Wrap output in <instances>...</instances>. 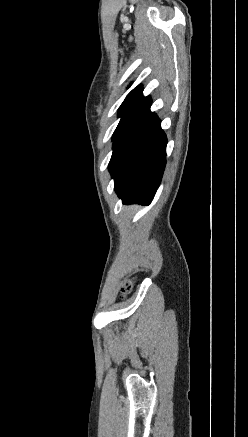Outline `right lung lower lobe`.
I'll list each match as a JSON object with an SVG mask.
<instances>
[{
  "instance_id": "obj_1",
  "label": "right lung lower lobe",
  "mask_w": 248,
  "mask_h": 437,
  "mask_svg": "<svg viewBox=\"0 0 248 437\" xmlns=\"http://www.w3.org/2000/svg\"><path fill=\"white\" fill-rule=\"evenodd\" d=\"M142 93L115 135L109 170L123 203L149 204L166 165V135Z\"/></svg>"
}]
</instances>
